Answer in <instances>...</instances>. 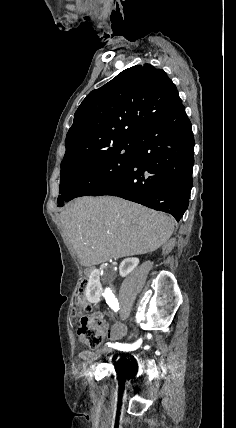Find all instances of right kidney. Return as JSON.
<instances>
[{
	"label": "right kidney",
	"mask_w": 236,
	"mask_h": 428,
	"mask_svg": "<svg viewBox=\"0 0 236 428\" xmlns=\"http://www.w3.org/2000/svg\"><path fill=\"white\" fill-rule=\"evenodd\" d=\"M139 264L138 258H125L119 266V274L122 278L128 276L132 270H135ZM101 276L100 270H93L86 286V298L91 304L99 302L100 291L105 290L104 284H99L98 278Z\"/></svg>",
	"instance_id": "obj_1"
}]
</instances>
